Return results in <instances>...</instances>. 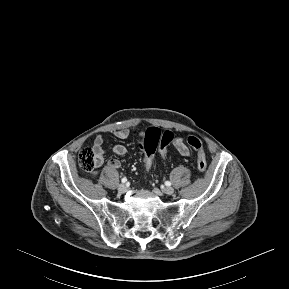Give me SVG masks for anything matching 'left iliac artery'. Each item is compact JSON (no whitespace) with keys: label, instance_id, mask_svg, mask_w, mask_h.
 <instances>
[{"label":"left iliac artery","instance_id":"1","mask_svg":"<svg viewBox=\"0 0 289 289\" xmlns=\"http://www.w3.org/2000/svg\"><path fill=\"white\" fill-rule=\"evenodd\" d=\"M165 185H166V186H171V182H170V181H166V182H165Z\"/></svg>","mask_w":289,"mask_h":289}]
</instances>
